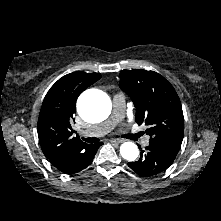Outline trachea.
<instances>
[{
  "label": "trachea",
  "instance_id": "3493384b",
  "mask_svg": "<svg viewBox=\"0 0 221 221\" xmlns=\"http://www.w3.org/2000/svg\"><path fill=\"white\" fill-rule=\"evenodd\" d=\"M84 141L88 142V143H95L98 142L99 139L98 138H83Z\"/></svg>",
  "mask_w": 221,
  "mask_h": 221
}]
</instances>
